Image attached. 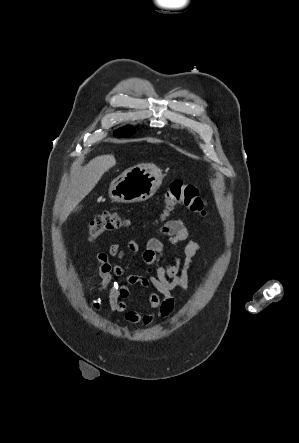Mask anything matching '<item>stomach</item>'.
Returning a JSON list of instances; mask_svg holds the SVG:
<instances>
[{"instance_id": "stomach-1", "label": "stomach", "mask_w": 299, "mask_h": 443, "mask_svg": "<svg viewBox=\"0 0 299 443\" xmlns=\"http://www.w3.org/2000/svg\"><path fill=\"white\" fill-rule=\"evenodd\" d=\"M162 181V171L155 165L133 166L111 182L109 197L114 202H143L155 194Z\"/></svg>"}]
</instances>
